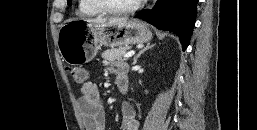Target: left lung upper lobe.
<instances>
[{"mask_svg":"<svg viewBox=\"0 0 257 130\" xmlns=\"http://www.w3.org/2000/svg\"><path fill=\"white\" fill-rule=\"evenodd\" d=\"M71 0H67V3H69Z\"/></svg>","mask_w":257,"mask_h":130,"instance_id":"left-lung-upper-lobe-1","label":"left lung upper lobe"}]
</instances>
